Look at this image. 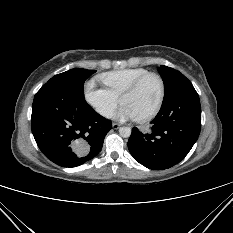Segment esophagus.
<instances>
[{"label": "esophagus", "mask_w": 233, "mask_h": 233, "mask_svg": "<svg viewBox=\"0 0 233 233\" xmlns=\"http://www.w3.org/2000/svg\"><path fill=\"white\" fill-rule=\"evenodd\" d=\"M112 127H113V129H118L119 127H120V124H118V123H113L112 124Z\"/></svg>", "instance_id": "obj_1"}]
</instances>
